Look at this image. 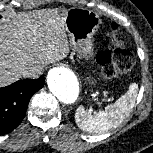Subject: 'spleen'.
Here are the masks:
<instances>
[{
  "instance_id": "spleen-1",
  "label": "spleen",
  "mask_w": 153,
  "mask_h": 153,
  "mask_svg": "<svg viewBox=\"0 0 153 153\" xmlns=\"http://www.w3.org/2000/svg\"><path fill=\"white\" fill-rule=\"evenodd\" d=\"M138 84L132 83L128 91L116 102L106 106L95 114H90L83 107H79L75 114V120L80 129L88 133H103L120 125L131 112L135 104Z\"/></svg>"
}]
</instances>
